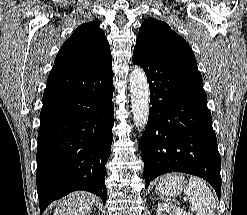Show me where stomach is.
<instances>
[{
	"instance_id": "stomach-1",
	"label": "stomach",
	"mask_w": 247,
	"mask_h": 215,
	"mask_svg": "<svg viewBox=\"0 0 247 215\" xmlns=\"http://www.w3.org/2000/svg\"><path fill=\"white\" fill-rule=\"evenodd\" d=\"M184 189V180L179 176L167 175L157 185L160 196H176Z\"/></svg>"
}]
</instances>
